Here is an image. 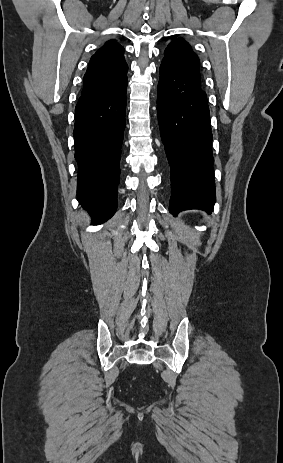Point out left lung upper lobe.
Returning <instances> with one entry per match:
<instances>
[{
  "label": "left lung upper lobe",
  "instance_id": "obj_1",
  "mask_svg": "<svg viewBox=\"0 0 283 463\" xmlns=\"http://www.w3.org/2000/svg\"><path fill=\"white\" fill-rule=\"evenodd\" d=\"M164 55L163 60H166L189 79L200 84L199 58L185 40H173L166 48Z\"/></svg>",
  "mask_w": 283,
  "mask_h": 463
}]
</instances>
